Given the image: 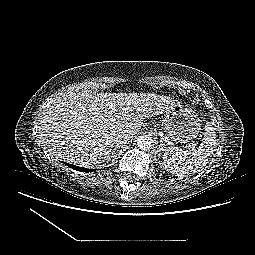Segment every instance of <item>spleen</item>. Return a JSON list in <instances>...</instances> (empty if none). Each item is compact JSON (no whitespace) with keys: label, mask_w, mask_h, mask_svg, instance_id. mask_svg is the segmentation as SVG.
<instances>
[{"label":"spleen","mask_w":255,"mask_h":255,"mask_svg":"<svg viewBox=\"0 0 255 255\" xmlns=\"http://www.w3.org/2000/svg\"><path fill=\"white\" fill-rule=\"evenodd\" d=\"M216 145V133L211 122L205 126L204 140L192 153L178 147L168 149L164 154V167L176 176L200 172L209 162Z\"/></svg>","instance_id":"3e777b00"}]
</instances>
